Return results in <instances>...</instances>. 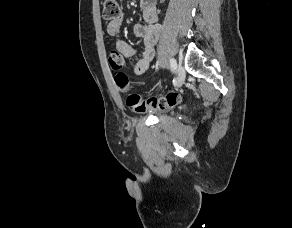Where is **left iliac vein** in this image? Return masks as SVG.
Returning <instances> with one entry per match:
<instances>
[{
  "label": "left iliac vein",
  "mask_w": 292,
  "mask_h": 228,
  "mask_svg": "<svg viewBox=\"0 0 292 228\" xmlns=\"http://www.w3.org/2000/svg\"><path fill=\"white\" fill-rule=\"evenodd\" d=\"M185 76H186L185 69L181 64H179L177 67V84H178V86H181L183 84V82L185 80Z\"/></svg>",
  "instance_id": "1"
}]
</instances>
